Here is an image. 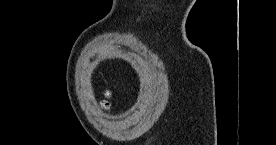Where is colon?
Returning a JSON list of instances; mask_svg holds the SVG:
<instances>
[{
  "instance_id": "5ec220e1",
  "label": "colon",
  "mask_w": 276,
  "mask_h": 145,
  "mask_svg": "<svg viewBox=\"0 0 276 145\" xmlns=\"http://www.w3.org/2000/svg\"><path fill=\"white\" fill-rule=\"evenodd\" d=\"M105 97H106V99H109L110 93H109V92H105ZM105 107H107V108L112 107V103L109 102L108 100H106V101H105Z\"/></svg>"
}]
</instances>
